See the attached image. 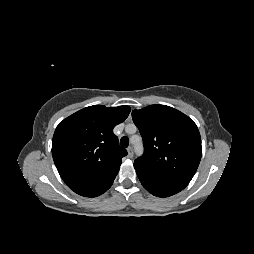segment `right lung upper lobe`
<instances>
[{
    "mask_svg": "<svg viewBox=\"0 0 254 254\" xmlns=\"http://www.w3.org/2000/svg\"><path fill=\"white\" fill-rule=\"evenodd\" d=\"M129 106L83 108L64 119L52 140L56 168L70 186L119 170L127 151L119 146L113 128L130 113Z\"/></svg>",
    "mask_w": 254,
    "mask_h": 254,
    "instance_id": "cb5924a9",
    "label": "right lung upper lobe"
}]
</instances>
